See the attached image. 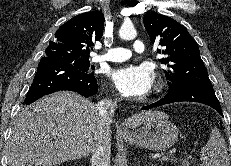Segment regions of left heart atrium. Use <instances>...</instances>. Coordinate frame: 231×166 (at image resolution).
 Wrapping results in <instances>:
<instances>
[{
  "mask_svg": "<svg viewBox=\"0 0 231 166\" xmlns=\"http://www.w3.org/2000/svg\"><path fill=\"white\" fill-rule=\"evenodd\" d=\"M113 85L127 97H142L148 94L154 84V73L147 65H129L110 72Z\"/></svg>",
  "mask_w": 231,
  "mask_h": 166,
  "instance_id": "obj_1",
  "label": "left heart atrium"
}]
</instances>
